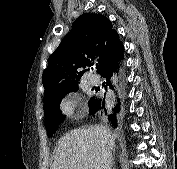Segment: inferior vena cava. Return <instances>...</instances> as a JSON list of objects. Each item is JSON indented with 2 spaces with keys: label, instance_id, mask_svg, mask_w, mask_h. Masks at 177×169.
<instances>
[{
  "label": "inferior vena cava",
  "instance_id": "obj_1",
  "mask_svg": "<svg viewBox=\"0 0 177 169\" xmlns=\"http://www.w3.org/2000/svg\"><path fill=\"white\" fill-rule=\"evenodd\" d=\"M100 144H101V155L103 160L102 169H111L112 164V150L114 147V141L111 134L102 126L95 127Z\"/></svg>",
  "mask_w": 177,
  "mask_h": 169
}]
</instances>
